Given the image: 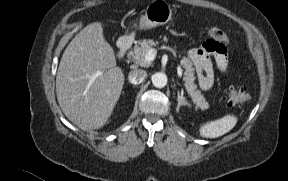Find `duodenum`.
<instances>
[{
  "label": "duodenum",
  "mask_w": 288,
  "mask_h": 181,
  "mask_svg": "<svg viewBox=\"0 0 288 181\" xmlns=\"http://www.w3.org/2000/svg\"><path fill=\"white\" fill-rule=\"evenodd\" d=\"M132 43H133V40L129 37H122L119 40V49L123 55V58H125L126 55L130 53L132 49Z\"/></svg>",
  "instance_id": "obj_1"
}]
</instances>
